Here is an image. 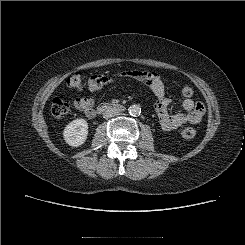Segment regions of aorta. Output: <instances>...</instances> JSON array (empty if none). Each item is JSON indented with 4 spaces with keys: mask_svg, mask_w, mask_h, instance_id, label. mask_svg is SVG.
Here are the masks:
<instances>
[{
    "mask_svg": "<svg viewBox=\"0 0 245 245\" xmlns=\"http://www.w3.org/2000/svg\"><path fill=\"white\" fill-rule=\"evenodd\" d=\"M128 110H129L130 115L132 116H138L141 113V108L139 105H132L129 107Z\"/></svg>",
    "mask_w": 245,
    "mask_h": 245,
    "instance_id": "1",
    "label": "aorta"
}]
</instances>
